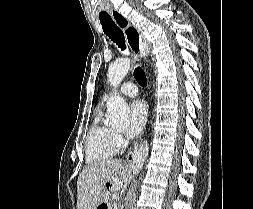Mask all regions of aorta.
Segmentation results:
<instances>
[{
  "label": "aorta",
  "instance_id": "762f6f07",
  "mask_svg": "<svg viewBox=\"0 0 253 209\" xmlns=\"http://www.w3.org/2000/svg\"><path fill=\"white\" fill-rule=\"evenodd\" d=\"M131 61L129 58H122L108 68V81L110 85L116 90L124 77L130 70ZM108 115L105 123L114 127H126L129 123V107L122 97L115 94L111 97L107 105Z\"/></svg>",
  "mask_w": 253,
  "mask_h": 209
}]
</instances>
